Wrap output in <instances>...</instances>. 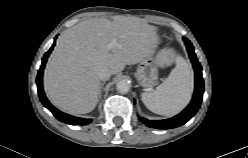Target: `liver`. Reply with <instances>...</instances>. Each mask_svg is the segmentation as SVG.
Instances as JSON below:
<instances>
[{
	"mask_svg": "<svg viewBox=\"0 0 248 158\" xmlns=\"http://www.w3.org/2000/svg\"><path fill=\"white\" fill-rule=\"evenodd\" d=\"M117 39L119 46L109 50ZM158 44L156 28L134 16L113 20L93 18L65 31L44 71V89L53 105L70 114L91 112L100 95L99 73H120L126 65L152 57ZM168 54L162 50L156 56Z\"/></svg>",
	"mask_w": 248,
	"mask_h": 158,
	"instance_id": "obj_1",
	"label": "liver"
}]
</instances>
